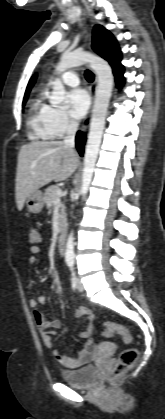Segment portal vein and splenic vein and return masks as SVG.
<instances>
[{
	"label": "portal vein and splenic vein",
	"instance_id": "1",
	"mask_svg": "<svg viewBox=\"0 0 165 419\" xmlns=\"http://www.w3.org/2000/svg\"><path fill=\"white\" fill-rule=\"evenodd\" d=\"M62 194H63V192H62V190H61V189H58V190L56 191V195H57V200H56V202H58V201H59V198L62 196Z\"/></svg>",
	"mask_w": 165,
	"mask_h": 419
}]
</instances>
